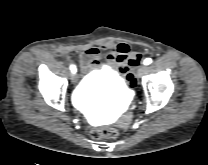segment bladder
I'll return each instance as SVG.
<instances>
[{
  "instance_id": "31cf9c89",
  "label": "bladder",
  "mask_w": 208,
  "mask_h": 165,
  "mask_svg": "<svg viewBox=\"0 0 208 165\" xmlns=\"http://www.w3.org/2000/svg\"><path fill=\"white\" fill-rule=\"evenodd\" d=\"M102 96L115 101L124 100L129 94V88L110 70H101L86 76L79 85L77 100L84 108L91 105V97L98 90Z\"/></svg>"
}]
</instances>
